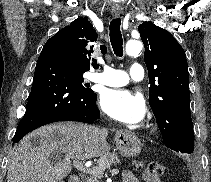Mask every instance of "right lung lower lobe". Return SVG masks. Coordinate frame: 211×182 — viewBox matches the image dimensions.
<instances>
[{"label":"right lung lower lobe","mask_w":211,"mask_h":182,"mask_svg":"<svg viewBox=\"0 0 211 182\" xmlns=\"http://www.w3.org/2000/svg\"><path fill=\"white\" fill-rule=\"evenodd\" d=\"M75 67L66 44L50 38L38 58L26 112L18 124L13 143L49 123H94L100 118L96 94L83 89Z\"/></svg>","instance_id":"obj_1"}]
</instances>
